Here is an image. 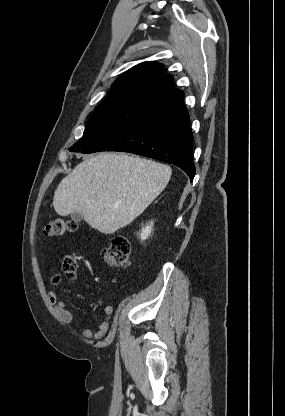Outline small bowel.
I'll return each mask as SVG.
<instances>
[{
  "mask_svg": "<svg viewBox=\"0 0 285 416\" xmlns=\"http://www.w3.org/2000/svg\"><path fill=\"white\" fill-rule=\"evenodd\" d=\"M49 302L52 304L54 312L58 319L65 325H70L74 318L72 313L66 307L64 301L58 298L56 293L52 290L48 293ZM104 318L98 324L97 330L93 332L87 327H83L81 330L82 336L85 339H102L109 328V319L113 313V307L111 305H105L104 309Z\"/></svg>",
  "mask_w": 285,
  "mask_h": 416,
  "instance_id": "c3829d8e",
  "label": "small bowel"
}]
</instances>
